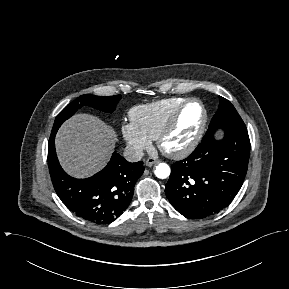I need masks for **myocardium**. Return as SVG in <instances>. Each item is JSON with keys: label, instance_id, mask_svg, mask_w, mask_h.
<instances>
[{"label": "myocardium", "instance_id": "1", "mask_svg": "<svg viewBox=\"0 0 289 289\" xmlns=\"http://www.w3.org/2000/svg\"><path fill=\"white\" fill-rule=\"evenodd\" d=\"M191 103H197L201 107V110L203 113L202 122H201V125H200L196 135L193 137V139L188 144H186L185 146H183L181 148H177V149L167 148L166 147V140L176 129V127L180 121L181 115H182L183 111L185 110V108ZM207 124H208V111H207L205 105L203 104V102L197 98H187L177 108V110L174 112V114L172 115V117L170 118V120L168 121L166 126L160 132V134L157 138V145H158L159 149L165 155H167L171 158H175V159L184 158V157L188 156L189 154H191L196 149V147L199 145V143L201 142V140L205 134Z\"/></svg>", "mask_w": 289, "mask_h": 289}]
</instances>
